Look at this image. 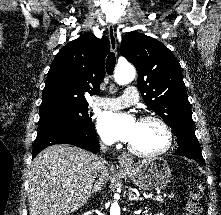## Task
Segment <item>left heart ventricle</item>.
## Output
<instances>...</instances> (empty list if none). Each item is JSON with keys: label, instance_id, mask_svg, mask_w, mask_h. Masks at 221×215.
<instances>
[{"label": "left heart ventricle", "instance_id": "obj_1", "mask_svg": "<svg viewBox=\"0 0 221 215\" xmlns=\"http://www.w3.org/2000/svg\"><path fill=\"white\" fill-rule=\"evenodd\" d=\"M166 138L161 126L153 121L138 122L136 133L130 144L144 152L159 150L165 144Z\"/></svg>", "mask_w": 221, "mask_h": 215}]
</instances>
